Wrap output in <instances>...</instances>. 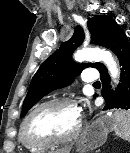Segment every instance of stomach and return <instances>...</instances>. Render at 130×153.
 <instances>
[{"mask_svg":"<svg viewBox=\"0 0 130 153\" xmlns=\"http://www.w3.org/2000/svg\"><path fill=\"white\" fill-rule=\"evenodd\" d=\"M114 126V114H101L86 127L79 147L83 150H94L100 147L105 143L108 134L114 130Z\"/></svg>","mask_w":130,"mask_h":153,"instance_id":"stomach-1","label":"stomach"}]
</instances>
